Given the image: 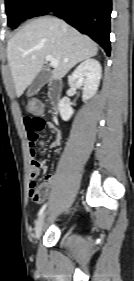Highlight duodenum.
I'll return each instance as SVG.
<instances>
[{
  "mask_svg": "<svg viewBox=\"0 0 134 281\" xmlns=\"http://www.w3.org/2000/svg\"><path fill=\"white\" fill-rule=\"evenodd\" d=\"M62 84L53 81L48 88V99L54 108H57L61 99Z\"/></svg>",
  "mask_w": 134,
  "mask_h": 281,
  "instance_id": "410a0bca",
  "label": "duodenum"
}]
</instances>
